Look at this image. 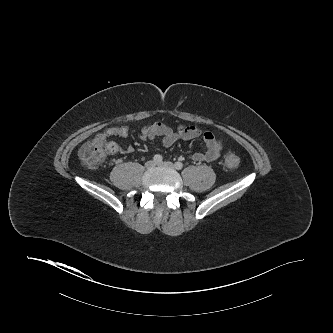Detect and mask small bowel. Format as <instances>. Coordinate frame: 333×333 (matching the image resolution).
Instances as JSON below:
<instances>
[{"mask_svg": "<svg viewBox=\"0 0 333 333\" xmlns=\"http://www.w3.org/2000/svg\"><path fill=\"white\" fill-rule=\"evenodd\" d=\"M129 135L127 126H114L104 129L99 132L95 139L101 138L108 140L110 137H126ZM202 137L206 145L205 152H195L190 154L189 158L194 162H213L220 157L223 149L222 141L209 131L203 132L200 128L194 125H180L177 130H173L170 126L164 123H154L146 125L141 129L140 138L143 141H153L156 138H161L164 147H170L178 140H193ZM108 142V141H107ZM110 145V154L131 153L132 147L122 149L114 142H108Z\"/></svg>", "mask_w": 333, "mask_h": 333, "instance_id": "1", "label": "small bowel"}]
</instances>
